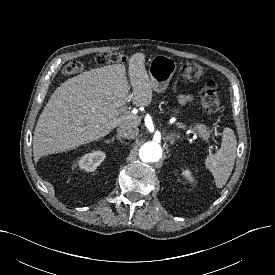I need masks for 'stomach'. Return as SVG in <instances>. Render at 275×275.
<instances>
[{"label":"stomach","instance_id":"1","mask_svg":"<svg viewBox=\"0 0 275 275\" xmlns=\"http://www.w3.org/2000/svg\"><path fill=\"white\" fill-rule=\"evenodd\" d=\"M176 62L165 55H155L149 62V76L153 86V90L156 92H163L175 70ZM178 109L174 110V114H178Z\"/></svg>","mask_w":275,"mask_h":275}]
</instances>
